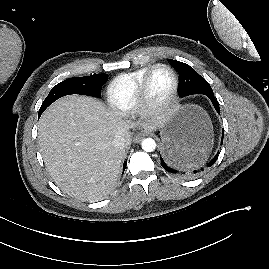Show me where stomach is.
<instances>
[{
    "instance_id": "1",
    "label": "stomach",
    "mask_w": 269,
    "mask_h": 269,
    "mask_svg": "<svg viewBox=\"0 0 269 269\" xmlns=\"http://www.w3.org/2000/svg\"><path fill=\"white\" fill-rule=\"evenodd\" d=\"M161 150L173 152L182 166L196 167L204 162L213 144L212 125L199 106H176L160 130Z\"/></svg>"
}]
</instances>
